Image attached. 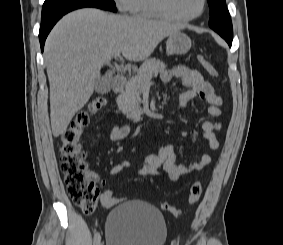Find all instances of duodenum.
Instances as JSON below:
<instances>
[{
	"label": "duodenum",
	"instance_id": "1",
	"mask_svg": "<svg viewBox=\"0 0 283 245\" xmlns=\"http://www.w3.org/2000/svg\"><path fill=\"white\" fill-rule=\"evenodd\" d=\"M127 79L123 74H117L113 81V91L119 94L123 91L126 85Z\"/></svg>",
	"mask_w": 283,
	"mask_h": 245
}]
</instances>
